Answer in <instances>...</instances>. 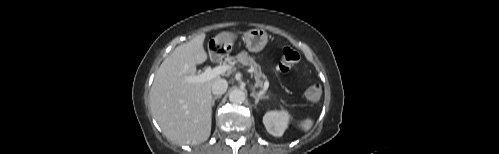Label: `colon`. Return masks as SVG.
I'll return each instance as SVG.
<instances>
[{
    "instance_id": "obj_1",
    "label": "colon",
    "mask_w": 499,
    "mask_h": 154,
    "mask_svg": "<svg viewBox=\"0 0 499 154\" xmlns=\"http://www.w3.org/2000/svg\"><path fill=\"white\" fill-rule=\"evenodd\" d=\"M300 56L297 51L290 47H286L282 51L281 59L279 62V70L281 72H289L299 62ZM308 100L317 102L322 97V90L319 84L314 83L310 85L305 92Z\"/></svg>"
}]
</instances>
